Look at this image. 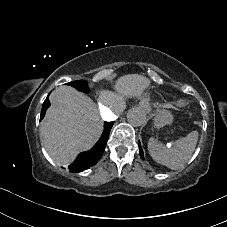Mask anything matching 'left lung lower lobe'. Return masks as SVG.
<instances>
[{
    "mask_svg": "<svg viewBox=\"0 0 227 227\" xmlns=\"http://www.w3.org/2000/svg\"><path fill=\"white\" fill-rule=\"evenodd\" d=\"M138 146H139L140 156H141L142 159H144L143 150H142L140 142H138Z\"/></svg>",
    "mask_w": 227,
    "mask_h": 227,
    "instance_id": "1",
    "label": "left lung lower lobe"
}]
</instances>
